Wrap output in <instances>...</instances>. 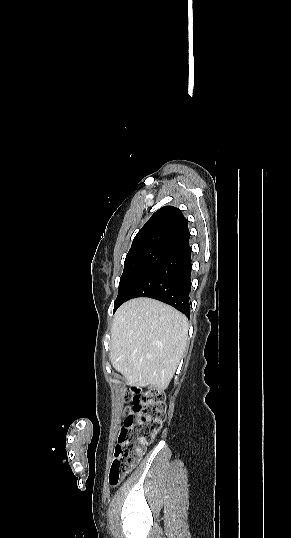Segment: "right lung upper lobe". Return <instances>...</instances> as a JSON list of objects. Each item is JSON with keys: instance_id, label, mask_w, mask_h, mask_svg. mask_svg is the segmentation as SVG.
<instances>
[{"instance_id": "1", "label": "right lung upper lobe", "mask_w": 291, "mask_h": 538, "mask_svg": "<svg viewBox=\"0 0 291 538\" xmlns=\"http://www.w3.org/2000/svg\"><path fill=\"white\" fill-rule=\"evenodd\" d=\"M189 238L188 221L182 212L176 207L164 206L139 230L129 252L148 247L172 250L188 242Z\"/></svg>"}]
</instances>
